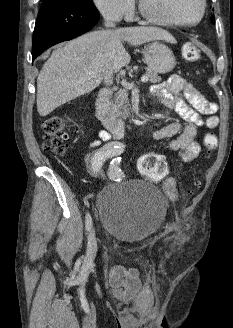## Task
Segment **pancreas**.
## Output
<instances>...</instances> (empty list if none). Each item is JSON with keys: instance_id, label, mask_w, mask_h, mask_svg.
Returning <instances> with one entry per match:
<instances>
[{"instance_id": "obj_1", "label": "pancreas", "mask_w": 233, "mask_h": 328, "mask_svg": "<svg viewBox=\"0 0 233 328\" xmlns=\"http://www.w3.org/2000/svg\"><path fill=\"white\" fill-rule=\"evenodd\" d=\"M145 74L148 78V80L151 83H158L162 81V78L157 75L156 72L151 70L150 68L145 69ZM129 100H128V93H127V87L124 86L123 89H120L114 97L111 99V101L108 103V110L112 117L114 118H120V117H126L128 115L129 109Z\"/></svg>"}]
</instances>
